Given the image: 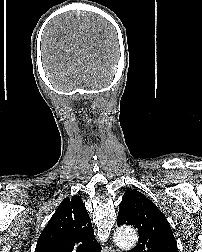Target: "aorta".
Returning <instances> with one entry per match:
<instances>
[{"instance_id": "1", "label": "aorta", "mask_w": 202, "mask_h": 252, "mask_svg": "<svg viewBox=\"0 0 202 252\" xmlns=\"http://www.w3.org/2000/svg\"><path fill=\"white\" fill-rule=\"evenodd\" d=\"M138 241L136 231L131 227H120L114 234V242L123 249H130L135 246Z\"/></svg>"}]
</instances>
